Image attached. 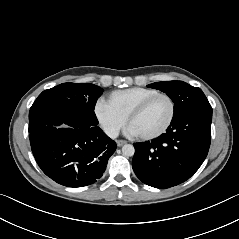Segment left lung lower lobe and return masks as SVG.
<instances>
[{"label": "left lung lower lobe", "instance_id": "obj_1", "mask_svg": "<svg viewBox=\"0 0 239 239\" xmlns=\"http://www.w3.org/2000/svg\"><path fill=\"white\" fill-rule=\"evenodd\" d=\"M211 121V107L194 109L172 119L166 133L151 142L134 143L136 176L161 189L189 179L208 154Z\"/></svg>", "mask_w": 239, "mask_h": 239}]
</instances>
